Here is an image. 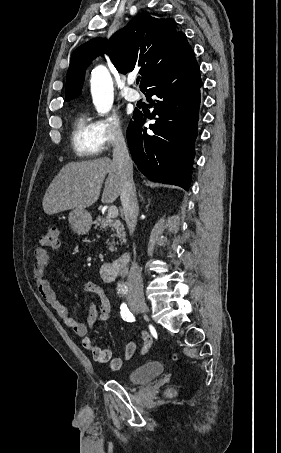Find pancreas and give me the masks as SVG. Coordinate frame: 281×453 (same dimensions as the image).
<instances>
[{"mask_svg": "<svg viewBox=\"0 0 281 453\" xmlns=\"http://www.w3.org/2000/svg\"><path fill=\"white\" fill-rule=\"evenodd\" d=\"M96 227H101V229H109L112 235L111 237H118L120 241H125V231L124 224L120 222L119 218H105V216H97L94 220Z\"/></svg>", "mask_w": 281, "mask_h": 453, "instance_id": "1", "label": "pancreas"}]
</instances>
